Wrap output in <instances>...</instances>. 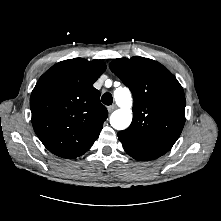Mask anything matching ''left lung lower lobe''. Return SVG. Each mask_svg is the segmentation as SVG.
<instances>
[{"instance_id":"obj_1","label":"left lung lower lobe","mask_w":221,"mask_h":221,"mask_svg":"<svg viewBox=\"0 0 221 221\" xmlns=\"http://www.w3.org/2000/svg\"><path fill=\"white\" fill-rule=\"evenodd\" d=\"M123 144V143H122ZM124 146V150L126 151V153L128 155H130L131 157H133L134 159L136 160H140V161H149V160H152V159H149V158H145L141 155H138L136 154L134 151L130 150L127 146H125V144H123Z\"/></svg>"}]
</instances>
